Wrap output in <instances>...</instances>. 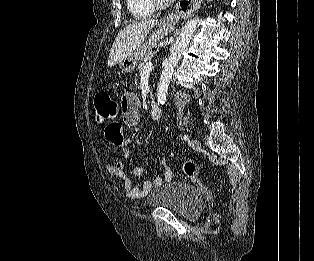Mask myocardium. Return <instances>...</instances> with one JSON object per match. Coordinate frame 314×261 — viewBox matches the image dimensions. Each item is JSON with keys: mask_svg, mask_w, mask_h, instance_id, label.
<instances>
[{"mask_svg": "<svg viewBox=\"0 0 314 261\" xmlns=\"http://www.w3.org/2000/svg\"><path fill=\"white\" fill-rule=\"evenodd\" d=\"M151 2L157 9H165L169 6L170 3L168 0H151Z\"/></svg>", "mask_w": 314, "mask_h": 261, "instance_id": "myocardium-1", "label": "myocardium"}]
</instances>
